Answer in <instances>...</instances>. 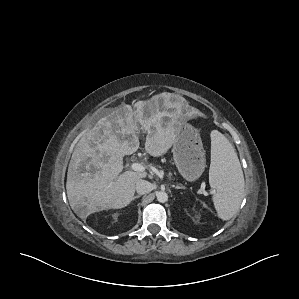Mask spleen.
I'll return each instance as SVG.
<instances>
[{
  "label": "spleen",
  "mask_w": 299,
  "mask_h": 299,
  "mask_svg": "<svg viewBox=\"0 0 299 299\" xmlns=\"http://www.w3.org/2000/svg\"><path fill=\"white\" fill-rule=\"evenodd\" d=\"M209 183L215 189L212 199L218 217L230 220L243 199L245 182L234 147L217 130L211 132Z\"/></svg>",
  "instance_id": "1"
}]
</instances>
